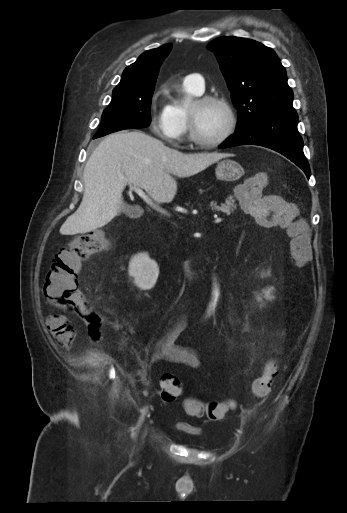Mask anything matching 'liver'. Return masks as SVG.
I'll use <instances>...</instances> for the list:
<instances>
[{
	"mask_svg": "<svg viewBox=\"0 0 347 513\" xmlns=\"http://www.w3.org/2000/svg\"><path fill=\"white\" fill-rule=\"evenodd\" d=\"M230 154H184L140 131L106 136L86 163L84 194L79 208L60 228L63 235L87 233L108 224L123 208L127 183L144 189L158 204L174 199L172 177L193 176Z\"/></svg>",
	"mask_w": 347,
	"mask_h": 513,
	"instance_id": "liver-1",
	"label": "liver"
}]
</instances>
